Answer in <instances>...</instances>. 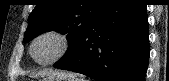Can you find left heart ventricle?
I'll list each match as a JSON object with an SVG mask.
<instances>
[{
	"mask_svg": "<svg viewBox=\"0 0 169 81\" xmlns=\"http://www.w3.org/2000/svg\"><path fill=\"white\" fill-rule=\"evenodd\" d=\"M60 49V42L54 37H43L39 39L33 48L34 58L40 62L53 59Z\"/></svg>",
	"mask_w": 169,
	"mask_h": 81,
	"instance_id": "obj_1",
	"label": "left heart ventricle"
}]
</instances>
